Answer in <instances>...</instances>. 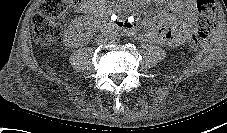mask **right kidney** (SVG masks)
<instances>
[{"instance_id": "right-kidney-1", "label": "right kidney", "mask_w": 227, "mask_h": 133, "mask_svg": "<svg viewBox=\"0 0 227 133\" xmlns=\"http://www.w3.org/2000/svg\"><path fill=\"white\" fill-rule=\"evenodd\" d=\"M82 25L83 24L81 23V20H72L68 26V29L66 30V40H75L77 37H79Z\"/></svg>"}]
</instances>
